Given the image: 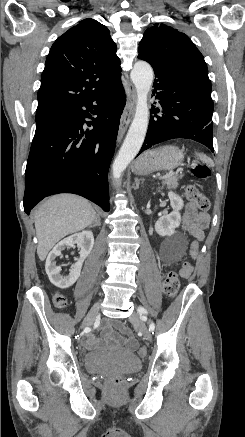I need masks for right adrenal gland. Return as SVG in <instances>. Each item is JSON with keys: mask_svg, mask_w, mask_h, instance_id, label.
Returning <instances> with one entry per match:
<instances>
[{"mask_svg": "<svg viewBox=\"0 0 245 437\" xmlns=\"http://www.w3.org/2000/svg\"><path fill=\"white\" fill-rule=\"evenodd\" d=\"M100 225H101V223H100V216L97 215L96 218H95L94 223H92L89 227L91 228V227L100 226Z\"/></svg>", "mask_w": 245, "mask_h": 437, "instance_id": "right-adrenal-gland-1", "label": "right adrenal gland"}]
</instances>
